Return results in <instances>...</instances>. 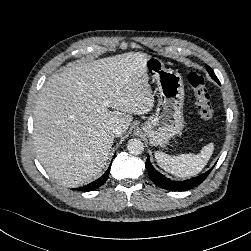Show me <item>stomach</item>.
<instances>
[{"instance_id":"stomach-1","label":"stomach","mask_w":251,"mask_h":251,"mask_svg":"<svg viewBox=\"0 0 251 251\" xmlns=\"http://www.w3.org/2000/svg\"><path fill=\"white\" fill-rule=\"evenodd\" d=\"M146 81L156 85L159 103L155 114L141 125L153 146H164L171 138L181 133L184 126V85L181 75L165 68L156 57H149L145 64Z\"/></svg>"}]
</instances>
